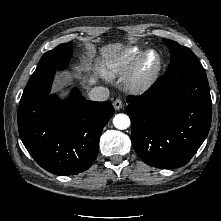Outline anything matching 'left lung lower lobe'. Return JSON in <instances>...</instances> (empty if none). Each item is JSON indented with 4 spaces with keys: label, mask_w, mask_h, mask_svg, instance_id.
Returning <instances> with one entry per match:
<instances>
[{
    "label": "left lung lower lobe",
    "mask_w": 221,
    "mask_h": 221,
    "mask_svg": "<svg viewBox=\"0 0 221 221\" xmlns=\"http://www.w3.org/2000/svg\"><path fill=\"white\" fill-rule=\"evenodd\" d=\"M127 102L132 144L150 166H184L208 135L212 102L199 61L166 72L141 96H128Z\"/></svg>",
    "instance_id": "left-lung-lower-lobe-1"
}]
</instances>
